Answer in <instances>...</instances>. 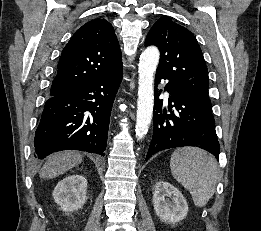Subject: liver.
Returning a JSON list of instances; mask_svg holds the SVG:
<instances>
[{
	"mask_svg": "<svg viewBox=\"0 0 261 231\" xmlns=\"http://www.w3.org/2000/svg\"><path fill=\"white\" fill-rule=\"evenodd\" d=\"M82 162V155L75 151L59 152L51 155L42 167L41 178H55Z\"/></svg>",
	"mask_w": 261,
	"mask_h": 231,
	"instance_id": "1",
	"label": "liver"
}]
</instances>
